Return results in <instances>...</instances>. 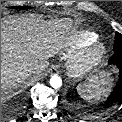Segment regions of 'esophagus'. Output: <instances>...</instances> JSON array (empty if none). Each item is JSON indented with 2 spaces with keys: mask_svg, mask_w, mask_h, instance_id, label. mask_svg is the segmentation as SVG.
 <instances>
[{
  "mask_svg": "<svg viewBox=\"0 0 122 122\" xmlns=\"http://www.w3.org/2000/svg\"><path fill=\"white\" fill-rule=\"evenodd\" d=\"M48 73L53 75V74H58L59 73V69L57 66H51L50 69L48 70Z\"/></svg>",
  "mask_w": 122,
  "mask_h": 122,
  "instance_id": "obj_1",
  "label": "esophagus"
}]
</instances>
